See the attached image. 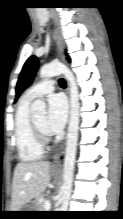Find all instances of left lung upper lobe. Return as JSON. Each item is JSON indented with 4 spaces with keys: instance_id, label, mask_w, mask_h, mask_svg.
<instances>
[{
    "instance_id": "5c2ea615",
    "label": "left lung upper lobe",
    "mask_w": 123,
    "mask_h": 219,
    "mask_svg": "<svg viewBox=\"0 0 123 219\" xmlns=\"http://www.w3.org/2000/svg\"><path fill=\"white\" fill-rule=\"evenodd\" d=\"M67 58L69 59V57ZM38 65V59L35 56H31L24 64L16 87V99L32 83Z\"/></svg>"
}]
</instances>
